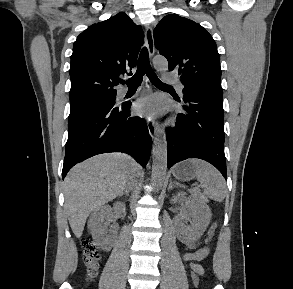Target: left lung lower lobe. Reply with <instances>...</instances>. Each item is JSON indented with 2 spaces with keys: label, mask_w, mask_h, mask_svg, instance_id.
Returning a JSON list of instances; mask_svg holds the SVG:
<instances>
[{
  "label": "left lung lower lobe",
  "mask_w": 293,
  "mask_h": 289,
  "mask_svg": "<svg viewBox=\"0 0 293 289\" xmlns=\"http://www.w3.org/2000/svg\"><path fill=\"white\" fill-rule=\"evenodd\" d=\"M183 100L186 113L178 114L176 126L166 131L168 168L187 158H199L211 163L227 179L222 98L184 93Z\"/></svg>",
  "instance_id": "0a47b994"
}]
</instances>
